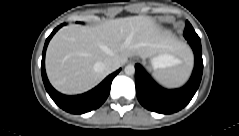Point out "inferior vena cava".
Wrapping results in <instances>:
<instances>
[{
	"label": "inferior vena cava",
	"instance_id": "inferior-vena-cava-1",
	"mask_svg": "<svg viewBox=\"0 0 239 136\" xmlns=\"http://www.w3.org/2000/svg\"><path fill=\"white\" fill-rule=\"evenodd\" d=\"M119 67H120V63L115 59H110L105 63V68L110 72L115 71Z\"/></svg>",
	"mask_w": 239,
	"mask_h": 136
}]
</instances>
